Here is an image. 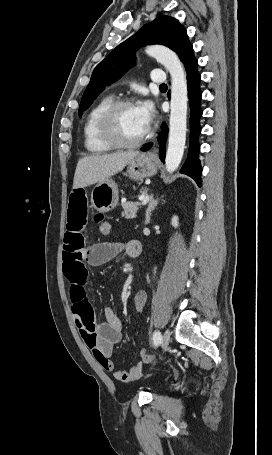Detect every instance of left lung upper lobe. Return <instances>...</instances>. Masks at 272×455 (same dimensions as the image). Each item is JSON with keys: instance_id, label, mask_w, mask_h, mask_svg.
Wrapping results in <instances>:
<instances>
[{"instance_id": "obj_1", "label": "left lung upper lobe", "mask_w": 272, "mask_h": 455, "mask_svg": "<svg viewBox=\"0 0 272 455\" xmlns=\"http://www.w3.org/2000/svg\"><path fill=\"white\" fill-rule=\"evenodd\" d=\"M146 44H162L169 47L178 54L183 63L188 59H195L185 28L172 17L159 16L118 45L96 66L83 94L79 116L90 107L106 86L118 80L134 65L136 49Z\"/></svg>"}]
</instances>
